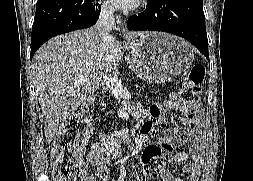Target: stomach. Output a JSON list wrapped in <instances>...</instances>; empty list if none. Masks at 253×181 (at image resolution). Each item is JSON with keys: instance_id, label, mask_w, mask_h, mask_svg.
<instances>
[{"instance_id": "obj_1", "label": "stomach", "mask_w": 253, "mask_h": 181, "mask_svg": "<svg viewBox=\"0 0 253 181\" xmlns=\"http://www.w3.org/2000/svg\"><path fill=\"white\" fill-rule=\"evenodd\" d=\"M131 69L150 83H163L186 71L194 60L185 40L161 32H148L131 41Z\"/></svg>"}]
</instances>
